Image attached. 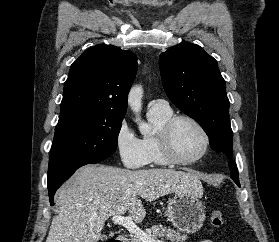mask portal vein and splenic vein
Segmentation results:
<instances>
[{
	"label": "portal vein and splenic vein",
	"mask_w": 279,
	"mask_h": 242,
	"mask_svg": "<svg viewBox=\"0 0 279 242\" xmlns=\"http://www.w3.org/2000/svg\"><path fill=\"white\" fill-rule=\"evenodd\" d=\"M112 222L116 225H122L125 227L130 233L134 234L135 237H138L141 242H161L149 237L145 231H143L133 222L131 216L124 217L122 215H113Z\"/></svg>",
	"instance_id": "portal-vein-and-splenic-vein-1"
}]
</instances>
